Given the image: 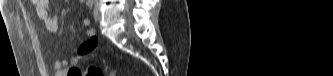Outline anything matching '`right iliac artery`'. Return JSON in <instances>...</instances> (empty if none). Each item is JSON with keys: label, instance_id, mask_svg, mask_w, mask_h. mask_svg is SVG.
Returning <instances> with one entry per match:
<instances>
[{"label": "right iliac artery", "instance_id": "obj_1", "mask_svg": "<svg viewBox=\"0 0 333 76\" xmlns=\"http://www.w3.org/2000/svg\"><path fill=\"white\" fill-rule=\"evenodd\" d=\"M87 5H88V6H92V5H93V0H88V1H87Z\"/></svg>", "mask_w": 333, "mask_h": 76}]
</instances>
